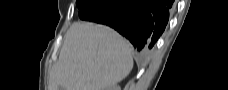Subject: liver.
Segmentation results:
<instances>
[{
    "mask_svg": "<svg viewBox=\"0 0 228 90\" xmlns=\"http://www.w3.org/2000/svg\"><path fill=\"white\" fill-rule=\"evenodd\" d=\"M133 68L129 43L114 30L75 22L50 72L49 90H107Z\"/></svg>",
    "mask_w": 228,
    "mask_h": 90,
    "instance_id": "6515ba94",
    "label": "liver"
}]
</instances>
